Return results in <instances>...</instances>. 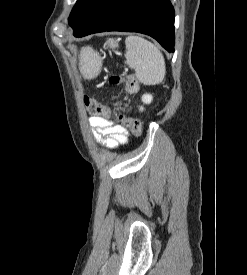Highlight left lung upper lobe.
<instances>
[{
    "label": "left lung upper lobe",
    "instance_id": "1",
    "mask_svg": "<svg viewBox=\"0 0 247 275\" xmlns=\"http://www.w3.org/2000/svg\"><path fill=\"white\" fill-rule=\"evenodd\" d=\"M102 0H77L69 16V25L76 30L80 28L92 11Z\"/></svg>",
    "mask_w": 247,
    "mask_h": 275
}]
</instances>
